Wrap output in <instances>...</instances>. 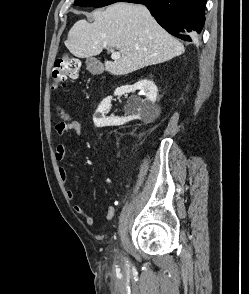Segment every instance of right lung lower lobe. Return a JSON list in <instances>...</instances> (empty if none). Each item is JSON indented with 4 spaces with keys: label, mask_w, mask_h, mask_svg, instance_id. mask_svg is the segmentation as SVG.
I'll return each instance as SVG.
<instances>
[{
    "label": "right lung lower lobe",
    "mask_w": 249,
    "mask_h": 294,
    "mask_svg": "<svg viewBox=\"0 0 249 294\" xmlns=\"http://www.w3.org/2000/svg\"><path fill=\"white\" fill-rule=\"evenodd\" d=\"M207 0H119L144 4L170 34L185 41H197L205 22Z\"/></svg>",
    "instance_id": "1"
}]
</instances>
